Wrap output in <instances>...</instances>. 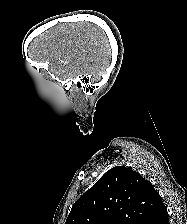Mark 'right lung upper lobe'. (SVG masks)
Listing matches in <instances>:
<instances>
[{
	"label": "right lung upper lobe",
	"mask_w": 187,
	"mask_h": 224,
	"mask_svg": "<svg viewBox=\"0 0 187 224\" xmlns=\"http://www.w3.org/2000/svg\"><path fill=\"white\" fill-rule=\"evenodd\" d=\"M166 215L152 184L138 172L117 166L73 204L65 224H158Z\"/></svg>",
	"instance_id": "obj_1"
}]
</instances>
